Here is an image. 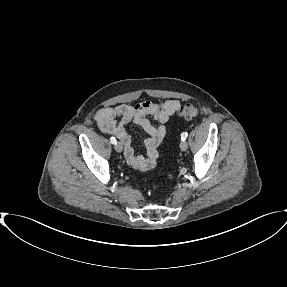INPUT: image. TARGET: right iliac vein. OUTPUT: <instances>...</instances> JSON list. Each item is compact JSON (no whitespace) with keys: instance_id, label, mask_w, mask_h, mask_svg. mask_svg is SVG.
I'll return each mask as SVG.
<instances>
[{"instance_id":"right-iliac-vein-1","label":"right iliac vein","mask_w":287,"mask_h":287,"mask_svg":"<svg viewBox=\"0 0 287 287\" xmlns=\"http://www.w3.org/2000/svg\"><path fill=\"white\" fill-rule=\"evenodd\" d=\"M115 150L117 151V152H122V150H123V145L120 143V142H118L116 145H115Z\"/></svg>"}]
</instances>
